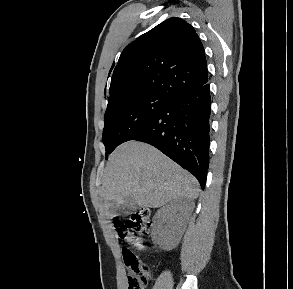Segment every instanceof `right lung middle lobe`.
Masks as SVG:
<instances>
[{"instance_id": "right-lung-middle-lobe-1", "label": "right lung middle lobe", "mask_w": 293, "mask_h": 289, "mask_svg": "<svg viewBox=\"0 0 293 289\" xmlns=\"http://www.w3.org/2000/svg\"><path fill=\"white\" fill-rule=\"evenodd\" d=\"M169 102L170 99L163 95L144 94L128 97L107 106L102 136L106 148V158Z\"/></svg>"}]
</instances>
